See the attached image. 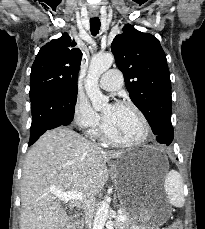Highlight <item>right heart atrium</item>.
Wrapping results in <instances>:
<instances>
[{
	"label": "right heart atrium",
	"instance_id": "d8ad5b80",
	"mask_svg": "<svg viewBox=\"0 0 205 229\" xmlns=\"http://www.w3.org/2000/svg\"><path fill=\"white\" fill-rule=\"evenodd\" d=\"M74 123L82 130L94 133L101 123L100 115L93 109L89 101L77 95L72 110Z\"/></svg>",
	"mask_w": 205,
	"mask_h": 229
}]
</instances>
